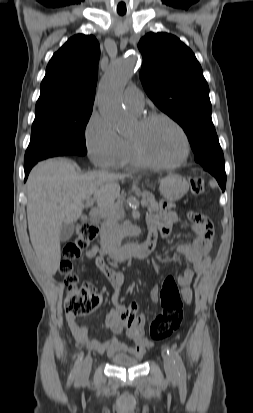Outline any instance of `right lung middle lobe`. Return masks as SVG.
Returning <instances> with one entry per match:
<instances>
[{
    "label": "right lung middle lobe",
    "mask_w": 253,
    "mask_h": 413,
    "mask_svg": "<svg viewBox=\"0 0 253 413\" xmlns=\"http://www.w3.org/2000/svg\"><path fill=\"white\" fill-rule=\"evenodd\" d=\"M92 109L49 110L35 113L24 162L64 155H85V128Z\"/></svg>",
    "instance_id": "right-lung-middle-lobe-1"
}]
</instances>
